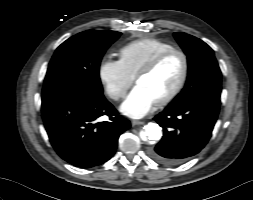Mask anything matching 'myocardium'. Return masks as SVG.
<instances>
[{
    "instance_id": "f54148a6",
    "label": "myocardium",
    "mask_w": 253,
    "mask_h": 200,
    "mask_svg": "<svg viewBox=\"0 0 253 200\" xmlns=\"http://www.w3.org/2000/svg\"><path fill=\"white\" fill-rule=\"evenodd\" d=\"M173 55H178L182 60V73L181 76L175 85V87L163 98L158 100L156 103L159 106L166 105L170 103L173 99L177 97V95L181 92L183 87L186 84L188 75H189V60L187 55L178 49H171L168 51H165L158 56H156L154 59H152L148 64H146L143 68H141L137 74L135 75V82L143 76L150 75L153 73L165 60H167L169 57Z\"/></svg>"
}]
</instances>
